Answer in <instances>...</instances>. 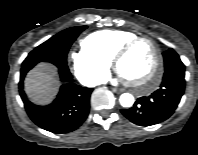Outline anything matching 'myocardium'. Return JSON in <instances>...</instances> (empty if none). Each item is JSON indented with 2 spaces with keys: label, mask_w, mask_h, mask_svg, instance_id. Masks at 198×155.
<instances>
[{
  "label": "myocardium",
  "mask_w": 198,
  "mask_h": 155,
  "mask_svg": "<svg viewBox=\"0 0 198 155\" xmlns=\"http://www.w3.org/2000/svg\"><path fill=\"white\" fill-rule=\"evenodd\" d=\"M139 42H147L152 46L154 50V54H155L154 64L149 75L146 77V79L143 82L134 83V82L127 81V83L130 86L134 87L138 92L145 94V93L151 92L157 87L160 81V77H161L163 58H162V54H161L158 44L153 39L149 37L137 36L128 40L122 46H120L118 50L115 52L112 58V62H113L114 68L118 71L119 62ZM142 87H145V88H142Z\"/></svg>",
  "instance_id": "myocardium-1"
}]
</instances>
